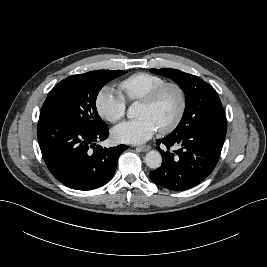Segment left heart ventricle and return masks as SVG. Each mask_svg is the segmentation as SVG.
<instances>
[{"label": "left heart ventricle", "instance_id": "left-heart-ventricle-1", "mask_svg": "<svg viewBox=\"0 0 267 267\" xmlns=\"http://www.w3.org/2000/svg\"><path fill=\"white\" fill-rule=\"evenodd\" d=\"M179 108V97L177 92L169 88L163 92L154 105L140 103L137 116H148L157 125L158 129L169 124L175 117Z\"/></svg>", "mask_w": 267, "mask_h": 267}]
</instances>
